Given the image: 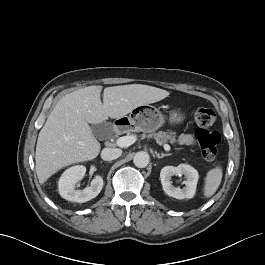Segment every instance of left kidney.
I'll return each mask as SVG.
<instances>
[{"mask_svg":"<svg viewBox=\"0 0 265 265\" xmlns=\"http://www.w3.org/2000/svg\"><path fill=\"white\" fill-rule=\"evenodd\" d=\"M174 175H184L186 177V180L183 182L185 187L181 189L180 187L172 185L171 178ZM198 178L199 175L197 170L187 164H180L177 167L165 166L160 172V179L164 192L168 196L176 199L193 198L196 192Z\"/></svg>","mask_w":265,"mask_h":265,"instance_id":"left-kidney-1","label":"left kidney"}]
</instances>
